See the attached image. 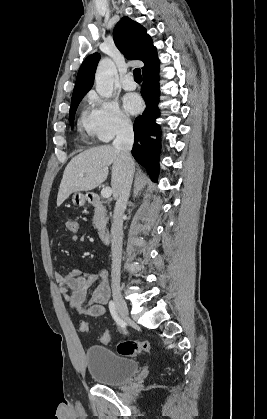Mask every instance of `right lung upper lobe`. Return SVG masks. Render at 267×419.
Returning <instances> with one entry per match:
<instances>
[{"mask_svg": "<svg viewBox=\"0 0 267 419\" xmlns=\"http://www.w3.org/2000/svg\"><path fill=\"white\" fill-rule=\"evenodd\" d=\"M113 36L116 46L127 59L141 60L144 62L142 72H145L159 62L156 47L153 46L151 37L146 33L142 25L131 20L129 17H123L116 24ZM99 59L100 55L94 53L84 60L77 74L72 98L85 96L91 89Z\"/></svg>", "mask_w": 267, "mask_h": 419, "instance_id": "obj_1", "label": "right lung upper lobe"}]
</instances>
